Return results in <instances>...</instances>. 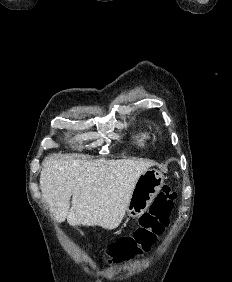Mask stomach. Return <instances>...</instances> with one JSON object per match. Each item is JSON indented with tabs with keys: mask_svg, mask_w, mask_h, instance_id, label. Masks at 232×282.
Here are the masks:
<instances>
[{
	"mask_svg": "<svg viewBox=\"0 0 232 282\" xmlns=\"http://www.w3.org/2000/svg\"><path fill=\"white\" fill-rule=\"evenodd\" d=\"M164 184V175L157 169L148 168L138 178L127 206V215L136 218L150 206Z\"/></svg>",
	"mask_w": 232,
	"mask_h": 282,
	"instance_id": "obj_1",
	"label": "stomach"
}]
</instances>
